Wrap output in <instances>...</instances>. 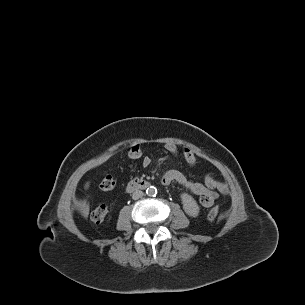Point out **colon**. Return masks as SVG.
Masks as SVG:
<instances>
[{
	"instance_id": "1",
	"label": "colon",
	"mask_w": 305,
	"mask_h": 305,
	"mask_svg": "<svg viewBox=\"0 0 305 305\" xmlns=\"http://www.w3.org/2000/svg\"><path fill=\"white\" fill-rule=\"evenodd\" d=\"M143 146L141 143L136 142L133 143L129 146L128 150H127V155L130 159L133 160H138L141 159L143 157ZM115 186V180L111 175H107L106 177L103 178V180L101 181L100 187L102 190L108 191L113 189ZM220 212V207L218 205L214 206L209 214H208V218L210 220H215ZM107 214V208L104 205H100L98 207H96L95 209H93V211L91 212V220L92 222H94L95 224H101Z\"/></svg>"
}]
</instances>
